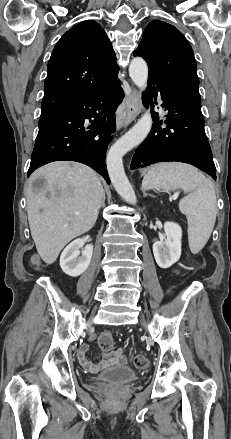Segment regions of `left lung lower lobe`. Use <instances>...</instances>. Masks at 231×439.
Returning <instances> with one entry per match:
<instances>
[{
    "mask_svg": "<svg viewBox=\"0 0 231 439\" xmlns=\"http://www.w3.org/2000/svg\"><path fill=\"white\" fill-rule=\"evenodd\" d=\"M158 95L167 113L160 122L158 114L152 113L155 124L148 137L136 149L130 168L178 161L196 166L216 180V168L201 110L193 107L161 80L149 75L144 104H152ZM162 123L166 128L161 129L159 124Z\"/></svg>",
    "mask_w": 231,
    "mask_h": 439,
    "instance_id": "left-lung-lower-lobe-1",
    "label": "left lung lower lobe"
}]
</instances>
